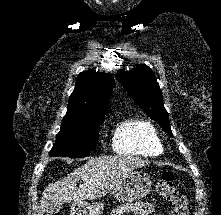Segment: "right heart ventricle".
Returning a JSON list of instances; mask_svg holds the SVG:
<instances>
[{
	"label": "right heart ventricle",
	"mask_w": 221,
	"mask_h": 215,
	"mask_svg": "<svg viewBox=\"0 0 221 215\" xmlns=\"http://www.w3.org/2000/svg\"><path fill=\"white\" fill-rule=\"evenodd\" d=\"M113 148L119 154L157 156L163 145L154 124L143 118H128L120 122L113 135Z\"/></svg>",
	"instance_id": "right-heart-ventricle-1"
}]
</instances>
